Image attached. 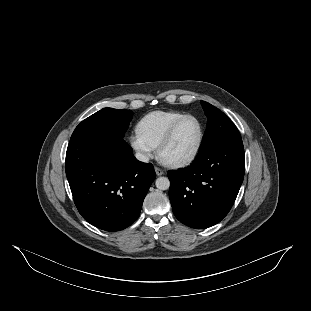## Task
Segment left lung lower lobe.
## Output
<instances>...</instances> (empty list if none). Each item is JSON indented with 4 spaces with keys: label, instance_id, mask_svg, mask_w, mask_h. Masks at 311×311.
I'll return each mask as SVG.
<instances>
[{
    "label": "left lung lower lobe",
    "instance_id": "obj_1",
    "mask_svg": "<svg viewBox=\"0 0 311 311\" xmlns=\"http://www.w3.org/2000/svg\"><path fill=\"white\" fill-rule=\"evenodd\" d=\"M244 171L241 138L226 140L198 154L186 168L170 171L169 197L174 215L191 228L217 224L230 211Z\"/></svg>",
    "mask_w": 311,
    "mask_h": 311
}]
</instances>
